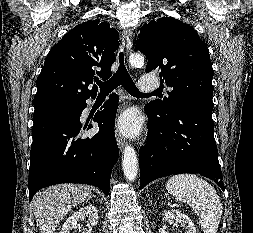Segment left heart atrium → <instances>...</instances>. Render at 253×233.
Masks as SVG:
<instances>
[{
    "label": "left heart atrium",
    "mask_w": 253,
    "mask_h": 233,
    "mask_svg": "<svg viewBox=\"0 0 253 233\" xmlns=\"http://www.w3.org/2000/svg\"><path fill=\"white\" fill-rule=\"evenodd\" d=\"M119 129L127 135L137 134L140 129V121L134 112L125 113L119 121Z\"/></svg>",
    "instance_id": "left-heart-atrium-1"
}]
</instances>
